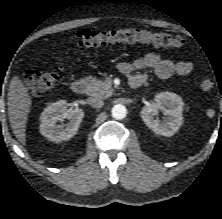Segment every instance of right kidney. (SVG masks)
I'll return each mask as SVG.
<instances>
[{
	"instance_id": "ca27d5eb",
	"label": "right kidney",
	"mask_w": 222,
	"mask_h": 219,
	"mask_svg": "<svg viewBox=\"0 0 222 219\" xmlns=\"http://www.w3.org/2000/svg\"><path fill=\"white\" fill-rule=\"evenodd\" d=\"M84 117L81 109H67V102L59 100L49 104L40 116V133L50 141L59 143L72 138L78 131ZM65 118L70 119L67 124H57Z\"/></svg>"
}]
</instances>
